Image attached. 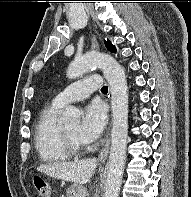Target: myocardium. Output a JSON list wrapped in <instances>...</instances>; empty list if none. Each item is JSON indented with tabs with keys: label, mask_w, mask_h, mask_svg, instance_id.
<instances>
[{
	"label": "myocardium",
	"mask_w": 191,
	"mask_h": 197,
	"mask_svg": "<svg viewBox=\"0 0 191 197\" xmlns=\"http://www.w3.org/2000/svg\"><path fill=\"white\" fill-rule=\"evenodd\" d=\"M62 136L64 144L71 155L79 154L82 151L83 145L78 140L70 136L64 128H62Z\"/></svg>",
	"instance_id": "myocardium-1"
}]
</instances>
